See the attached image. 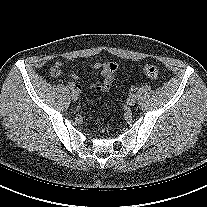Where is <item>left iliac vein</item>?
I'll use <instances>...</instances> for the list:
<instances>
[{"instance_id": "left-iliac-vein-1", "label": "left iliac vein", "mask_w": 207, "mask_h": 207, "mask_svg": "<svg viewBox=\"0 0 207 207\" xmlns=\"http://www.w3.org/2000/svg\"><path fill=\"white\" fill-rule=\"evenodd\" d=\"M136 100H137V96H136L135 94H131V95L129 96V98L127 99V104H128L129 106H134L135 103H136Z\"/></svg>"}]
</instances>
